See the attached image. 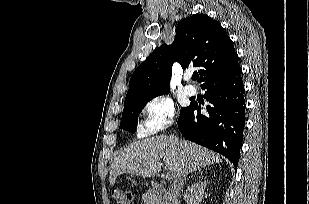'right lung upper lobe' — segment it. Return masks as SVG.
Returning a JSON list of instances; mask_svg holds the SVG:
<instances>
[{
	"label": "right lung upper lobe",
	"mask_w": 309,
	"mask_h": 204,
	"mask_svg": "<svg viewBox=\"0 0 309 204\" xmlns=\"http://www.w3.org/2000/svg\"><path fill=\"white\" fill-rule=\"evenodd\" d=\"M174 62L183 69L197 67L201 86L239 65L223 27L205 14H195L177 24L171 45L160 46L134 71L125 101L167 93Z\"/></svg>",
	"instance_id": "right-lung-upper-lobe-1"
}]
</instances>
